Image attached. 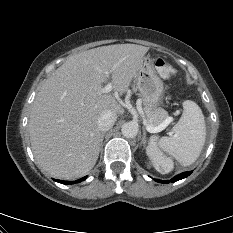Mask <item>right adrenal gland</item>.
<instances>
[{
    "mask_svg": "<svg viewBox=\"0 0 233 233\" xmlns=\"http://www.w3.org/2000/svg\"><path fill=\"white\" fill-rule=\"evenodd\" d=\"M104 135H105V132H103V133L101 134V144H102V142H103Z\"/></svg>",
    "mask_w": 233,
    "mask_h": 233,
    "instance_id": "2a0ac1e0",
    "label": "right adrenal gland"
}]
</instances>
